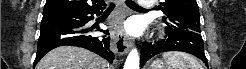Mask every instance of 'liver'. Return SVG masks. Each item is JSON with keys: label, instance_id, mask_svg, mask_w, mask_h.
I'll return each instance as SVG.
<instances>
[{"label": "liver", "instance_id": "6515ba94", "mask_svg": "<svg viewBox=\"0 0 246 69\" xmlns=\"http://www.w3.org/2000/svg\"><path fill=\"white\" fill-rule=\"evenodd\" d=\"M36 69H110L96 54L79 47L62 46L47 53Z\"/></svg>", "mask_w": 246, "mask_h": 69}]
</instances>
